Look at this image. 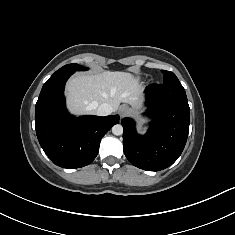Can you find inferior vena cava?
<instances>
[{
	"mask_svg": "<svg viewBox=\"0 0 235 235\" xmlns=\"http://www.w3.org/2000/svg\"><path fill=\"white\" fill-rule=\"evenodd\" d=\"M113 112V108L108 103H103L96 109V115L107 116Z\"/></svg>",
	"mask_w": 235,
	"mask_h": 235,
	"instance_id": "inferior-vena-cava-1",
	"label": "inferior vena cava"
}]
</instances>
